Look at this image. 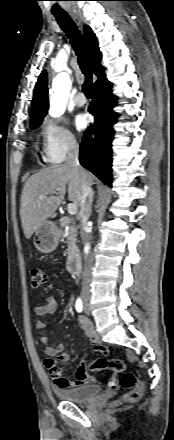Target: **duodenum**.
<instances>
[{
    "mask_svg": "<svg viewBox=\"0 0 174 440\" xmlns=\"http://www.w3.org/2000/svg\"><path fill=\"white\" fill-rule=\"evenodd\" d=\"M70 223V219L65 218L61 221L62 225H67ZM68 270L73 275H80V261L77 257L73 256L68 261Z\"/></svg>",
    "mask_w": 174,
    "mask_h": 440,
    "instance_id": "410a0bca",
    "label": "duodenum"
}]
</instances>
